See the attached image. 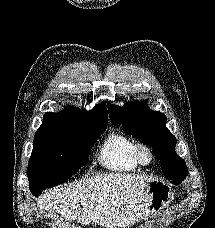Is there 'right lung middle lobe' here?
I'll return each mask as SVG.
<instances>
[{
    "label": "right lung middle lobe",
    "mask_w": 215,
    "mask_h": 228,
    "mask_svg": "<svg viewBox=\"0 0 215 228\" xmlns=\"http://www.w3.org/2000/svg\"><path fill=\"white\" fill-rule=\"evenodd\" d=\"M107 123L70 126L35 134L28 165L29 188L38 196L75 174L88 161Z\"/></svg>",
    "instance_id": "1"
}]
</instances>
